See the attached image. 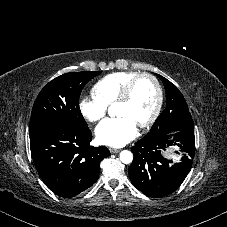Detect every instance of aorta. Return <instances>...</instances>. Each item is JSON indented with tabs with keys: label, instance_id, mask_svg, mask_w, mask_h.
I'll return each instance as SVG.
<instances>
[{
	"label": "aorta",
	"instance_id": "762f6f07",
	"mask_svg": "<svg viewBox=\"0 0 227 227\" xmlns=\"http://www.w3.org/2000/svg\"><path fill=\"white\" fill-rule=\"evenodd\" d=\"M120 160L124 164H129L133 160V154L130 151H128V150H123L120 153Z\"/></svg>",
	"mask_w": 227,
	"mask_h": 227
}]
</instances>
